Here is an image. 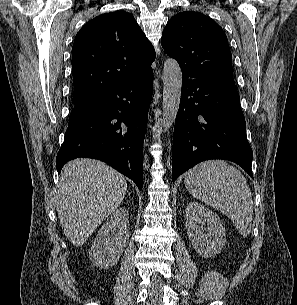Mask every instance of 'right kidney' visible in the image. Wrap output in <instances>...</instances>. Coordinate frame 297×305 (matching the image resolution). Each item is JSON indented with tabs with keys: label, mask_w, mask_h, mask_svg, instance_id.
<instances>
[{
	"label": "right kidney",
	"mask_w": 297,
	"mask_h": 305,
	"mask_svg": "<svg viewBox=\"0 0 297 305\" xmlns=\"http://www.w3.org/2000/svg\"><path fill=\"white\" fill-rule=\"evenodd\" d=\"M129 238V216L125 208L117 209L103 224L90 250L92 264L109 268L120 259Z\"/></svg>",
	"instance_id": "right-kidney-1"
}]
</instances>
